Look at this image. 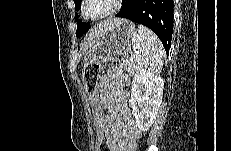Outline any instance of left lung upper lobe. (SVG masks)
<instances>
[{"label":"left lung upper lobe","instance_id":"1","mask_svg":"<svg viewBox=\"0 0 231 151\" xmlns=\"http://www.w3.org/2000/svg\"><path fill=\"white\" fill-rule=\"evenodd\" d=\"M134 1L135 0H123V7L131 6L132 2ZM74 3H75V10L78 11L81 6V0H74ZM76 20H77L76 36L80 37L90 29V24L83 23L81 20L78 19V16Z\"/></svg>","mask_w":231,"mask_h":151}]
</instances>
